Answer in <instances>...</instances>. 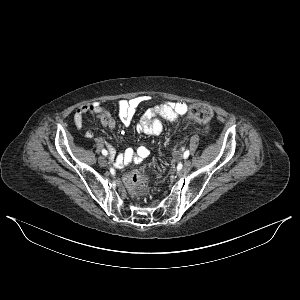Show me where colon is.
Returning a JSON list of instances; mask_svg holds the SVG:
<instances>
[{
	"instance_id": "1",
	"label": "colon",
	"mask_w": 300,
	"mask_h": 300,
	"mask_svg": "<svg viewBox=\"0 0 300 300\" xmlns=\"http://www.w3.org/2000/svg\"><path fill=\"white\" fill-rule=\"evenodd\" d=\"M211 108L203 103H195L190 108V119L200 123L206 124L212 118ZM148 179L145 174L138 172L128 173L124 179V184L127 190L134 196H140L148 191Z\"/></svg>"
}]
</instances>
